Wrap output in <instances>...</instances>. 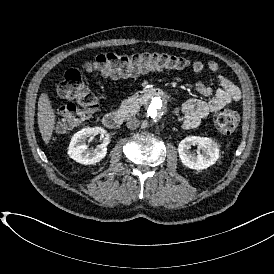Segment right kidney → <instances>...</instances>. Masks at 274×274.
Segmentation results:
<instances>
[{
	"mask_svg": "<svg viewBox=\"0 0 274 274\" xmlns=\"http://www.w3.org/2000/svg\"><path fill=\"white\" fill-rule=\"evenodd\" d=\"M100 134L103 141L95 149H89L86 139ZM110 143V135L102 127H86L76 132L70 141L68 155L76 162L84 165L95 164L101 161L107 154V146Z\"/></svg>",
	"mask_w": 274,
	"mask_h": 274,
	"instance_id": "1",
	"label": "right kidney"
}]
</instances>
